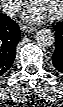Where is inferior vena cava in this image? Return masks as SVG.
I'll return each mask as SVG.
<instances>
[{
  "label": "inferior vena cava",
  "mask_w": 63,
  "mask_h": 107,
  "mask_svg": "<svg viewBox=\"0 0 63 107\" xmlns=\"http://www.w3.org/2000/svg\"><path fill=\"white\" fill-rule=\"evenodd\" d=\"M3 12L10 17H13L15 13L19 10L20 5L17 2L4 1L2 3Z\"/></svg>",
  "instance_id": "602c4592"
}]
</instances>
